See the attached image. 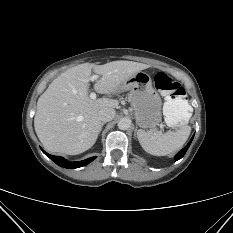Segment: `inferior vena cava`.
<instances>
[{"label": "inferior vena cava", "instance_id": "1", "mask_svg": "<svg viewBox=\"0 0 233 233\" xmlns=\"http://www.w3.org/2000/svg\"><path fill=\"white\" fill-rule=\"evenodd\" d=\"M98 117L102 122H109L115 117L114 109H102L98 113Z\"/></svg>", "mask_w": 233, "mask_h": 233}]
</instances>
